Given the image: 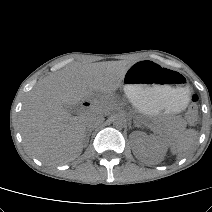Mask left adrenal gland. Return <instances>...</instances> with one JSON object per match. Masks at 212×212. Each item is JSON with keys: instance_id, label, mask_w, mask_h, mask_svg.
<instances>
[{"instance_id": "a2214340", "label": "left adrenal gland", "mask_w": 212, "mask_h": 212, "mask_svg": "<svg viewBox=\"0 0 212 212\" xmlns=\"http://www.w3.org/2000/svg\"><path fill=\"white\" fill-rule=\"evenodd\" d=\"M135 127H140V125L138 123H135Z\"/></svg>"}]
</instances>
